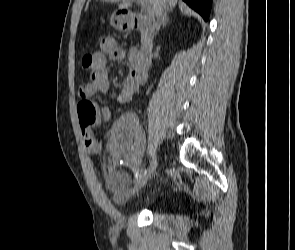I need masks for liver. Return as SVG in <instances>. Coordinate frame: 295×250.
Here are the masks:
<instances>
[{
  "mask_svg": "<svg viewBox=\"0 0 295 250\" xmlns=\"http://www.w3.org/2000/svg\"><path fill=\"white\" fill-rule=\"evenodd\" d=\"M106 2H119L122 1L119 4V9H128L129 7H131L132 2L134 0H104ZM144 2L148 3L151 7H152V11L153 13L156 14V12L160 9H173L176 4H177V0H144Z\"/></svg>",
  "mask_w": 295,
  "mask_h": 250,
  "instance_id": "obj_1",
  "label": "liver"
}]
</instances>
